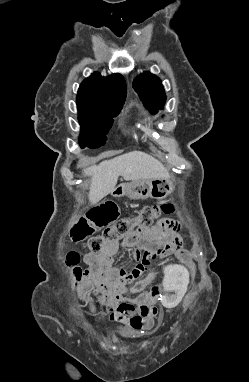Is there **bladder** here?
<instances>
[{"mask_svg": "<svg viewBox=\"0 0 249 382\" xmlns=\"http://www.w3.org/2000/svg\"><path fill=\"white\" fill-rule=\"evenodd\" d=\"M110 332L125 340H133L140 337V333L137 330L127 327L111 328Z\"/></svg>", "mask_w": 249, "mask_h": 382, "instance_id": "1", "label": "bladder"}]
</instances>
